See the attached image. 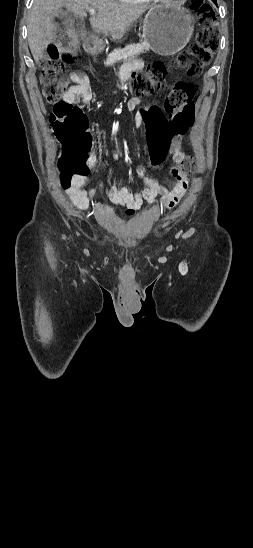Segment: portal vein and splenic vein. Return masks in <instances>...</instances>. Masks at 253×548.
<instances>
[{
	"instance_id": "portal-vein-and-splenic-vein-1",
	"label": "portal vein and splenic vein",
	"mask_w": 253,
	"mask_h": 548,
	"mask_svg": "<svg viewBox=\"0 0 253 548\" xmlns=\"http://www.w3.org/2000/svg\"><path fill=\"white\" fill-rule=\"evenodd\" d=\"M88 11H89V13H90L91 15H95V14H96V11H95L94 9H89Z\"/></svg>"
}]
</instances>
